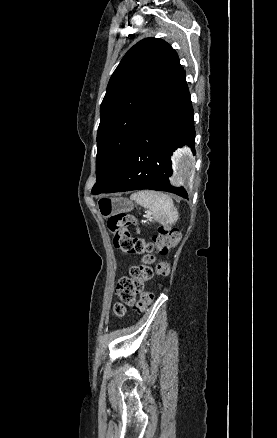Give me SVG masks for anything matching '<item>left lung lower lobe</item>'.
Returning <instances> with one entry per match:
<instances>
[{
	"mask_svg": "<svg viewBox=\"0 0 277 438\" xmlns=\"http://www.w3.org/2000/svg\"><path fill=\"white\" fill-rule=\"evenodd\" d=\"M194 137L193 113H181L168 102L150 97L139 113L127 161L116 181L102 193L150 189L187 198L183 188L170 186L168 177L172 153L184 144L194 153Z\"/></svg>",
	"mask_w": 277,
	"mask_h": 438,
	"instance_id": "1",
	"label": "left lung lower lobe"
}]
</instances>
